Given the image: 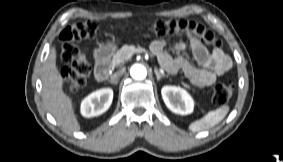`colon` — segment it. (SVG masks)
Listing matches in <instances>:
<instances>
[{
  "mask_svg": "<svg viewBox=\"0 0 283 162\" xmlns=\"http://www.w3.org/2000/svg\"><path fill=\"white\" fill-rule=\"evenodd\" d=\"M152 34L158 37L191 36L203 44L218 48L219 39L214 33L200 23L187 19H158L149 25ZM98 31L94 20L78 21L66 27L60 34L61 59L64 63L62 77L70 92H77L86 84L90 75V64L78 47L77 42L92 39ZM234 94V85L230 80L217 83L213 90L212 100L216 105L226 104Z\"/></svg>",
  "mask_w": 283,
  "mask_h": 162,
  "instance_id": "1",
  "label": "colon"
}]
</instances>
